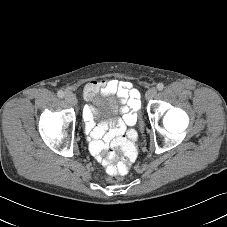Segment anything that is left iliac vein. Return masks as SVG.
Masks as SVG:
<instances>
[{
    "instance_id": "1",
    "label": "left iliac vein",
    "mask_w": 227,
    "mask_h": 227,
    "mask_svg": "<svg viewBox=\"0 0 227 227\" xmlns=\"http://www.w3.org/2000/svg\"><path fill=\"white\" fill-rule=\"evenodd\" d=\"M157 94V90L155 88H150L147 90L146 94H145V98L147 100H150L152 98H154Z\"/></svg>"
}]
</instances>
